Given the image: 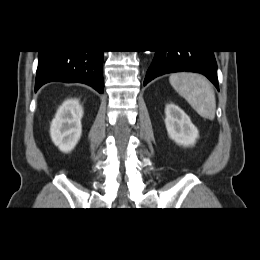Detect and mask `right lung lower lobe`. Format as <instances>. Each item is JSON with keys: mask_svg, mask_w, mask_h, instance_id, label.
Here are the masks:
<instances>
[{"mask_svg": "<svg viewBox=\"0 0 260 260\" xmlns=\"http://www.w3.org/2000/svg\"><path fill=\"white\" fill-rule=\"evenodd\" d=\"M103 52L39 51L35 91L48 82L85 83L103 93Z\"/></svg>", "mask_w": 260, "mask_h": 260, "instance_id": "obj_1", "label": "right lung lower lobe"}]
</instances>
